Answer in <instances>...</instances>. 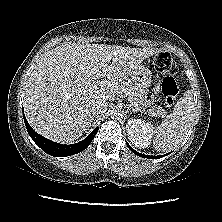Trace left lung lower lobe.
Listing matches in <instances>:
<instances>
[{
  "label": "left lung lower lobe",
  "instance_id": "1",
  "mask_svg": "<svg viewBox=\"0 0 222 222\" xmlns=\"http://www.w3.org/2000/svg\"><path fill=\"white\" fill-rule=\"evenodd\" d=\"M128 145V147L130 148V150L134 153V154H136V155H138V156H141V157H145V158H151V159H157V158H161V157H163V156H165V155H161V156H149V155H144V154H141V153H139V152H137V151H135L131 146H129V144H127Z\"/></svg>",
  "mask_w": 222,
  "mask_h": 222
}]
</instances>
